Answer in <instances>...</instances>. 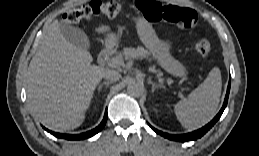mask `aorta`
<instances>
[{
	"label": "aorta",
	"mask_w": 259,
	"mask_h": 156,
	"mask_svg": "<svg viewBox=\"0 0 259 156\" xmlns=\"http://www.w3.org/2000/svg\"><path fill=\"white\" fill-rule=\"evenodd\" d=\"M127 92L132 96L139 97L144 92V86L140 82L131 81L127 86Z\"/></svg>",
	"instance_id": "obj_1"
}]
</instances>
